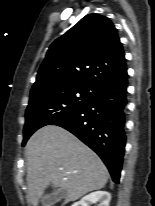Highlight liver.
Here are the masks:
<instances>
[{
    "label": "liver",
    "mask_w": 155,
    "mask_h": 206,
    "mask_svg": "<svg viewBox=\"0 0 155 206\" xmlns=\"http://www.w3.org/2000/svg\"><path fill=\"white\" fill-rule=\"evenodd\" d=\"M28 201L38 206L52 184L66 191L67 204L86 193L102 189L108 171L101 159L67 130L47 125L37 130L26 145Z\"/></svg>",
    "instance_id": "6515ba94"
}]
</instances>
